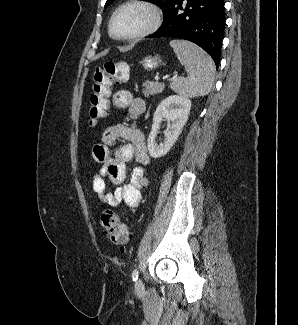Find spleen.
<instances>
[{"label":"spleen","mask_w":298,"mask_h":325,"mask_svg":"<svg viewBox=\"0 0 298 325\" xmlns=\"http://www.w3.org/2000/svg\"><path fill=\"white\" fill-rule=\"evenodd\" d=\"M169 44L188 74L172 80L171 90L184 98L209 94L215 80V64L211 56L190 40H170Z\"/></svg>","instance_id":"3e777b00"}]
</instances>
